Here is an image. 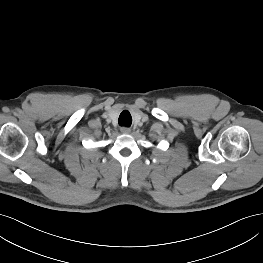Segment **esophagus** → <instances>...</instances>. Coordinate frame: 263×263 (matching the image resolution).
Returning <instances> with one entry per match:
<instances>
[{
    "mask_svg": "<svg viewBox=\"0 0 263 263\" xmlns=\"http://www.w3.org/2000/svg\"><path fill=\"white\" fill-rule=\"evenodd\" d=\"M120 131L122 134H129L131 132V129L127 127H122Z\"/></svg>",
    "mask_w": 263,
    "mask_h": 263,
    "instance_id": "1",
    "label": "esophagus"
}]
</instances>
